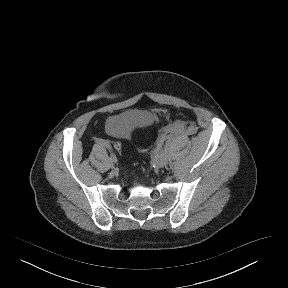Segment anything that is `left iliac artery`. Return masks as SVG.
Returning a JSON list of instances; mask_svg holds the SVG:
<instances>
[{
    "instance_id": "44dca946",
    "label": "left iliac artery",
    "mask_w": 288,
    "mask_h": 288,
    "mask_svg": "<svg viewBox=\"0 0 288 288\" xmlns=\"http://www.w3.org/2000/svg\"><path fill=\"white\" fill-rule=\"evenodd\" d=\"M159 155H160V156H163V155H164V151H163V150H160V151H159Z\"/></svg>"
}]
</instances>
